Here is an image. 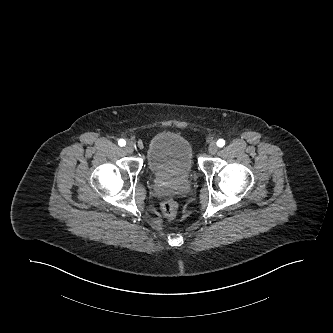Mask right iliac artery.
Wrapping results in <instances>:
<instances>
[{"label": "right iliac artery", "mask_w": 333, "mask_h": 333, "mask_svg": "<svg viewBox=\"0 0 333 333\" xmlns=\"http://www.w3.org/2000/svg\"><path fill=\"white\" fill-rule=\"evenodd\" d=\"M118 144L122 147V146H125L126 145V141L124 139H120L118 141Z\"/></svg>", "instance_id": "1"}]
</instances>
